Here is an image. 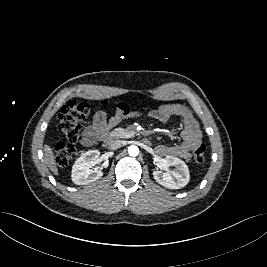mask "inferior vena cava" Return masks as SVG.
<instances>
[{
    "label": "inferior vena cava",
    "instance_id": "1",
    "mask_svg": "<svg viewBox=\"0 0 267 267\" xmlns=\"http://www.w3.org/2000/svg\"><path fill=\"white\" fill-rule=\"evenodd\" d=\"M123 145V141L121 140H112L109 143L108 149L110 150H117Z\"/></svg>",
    "mask_w": 267,
    "mask_h": 267
}]
</instances>
